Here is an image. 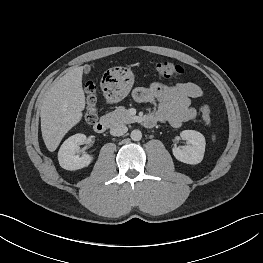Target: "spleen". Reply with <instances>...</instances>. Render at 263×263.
<instances>
[{"label": "spleen", "mask_w": 263, "mask_h": 263, "mask_svg": "<svg viewBox=\"0 0 263 263\" xmlns=\"http://www.w3.org/2000/svg\"><path fill=\"white\" fill-rule=\"evenodd\" d=\"M212 140H213V141L215 140V135L212 136Z\"/></svg>", "instance_id": "1"}]
</instances>
